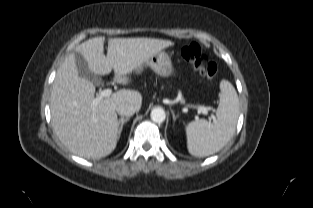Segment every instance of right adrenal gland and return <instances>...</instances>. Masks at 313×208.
<instances>
[{
    "mask_svg": "<svg viewBox=\"0 0 313 208\" xmlns=\"http://www.w3.org/2000/svg\"><path fill=\"white\" fill-rule=\"evenodd\" d=\"M129 119H130V117H122V118H120L119 119V121H118V125H119V135L121 134V132H122V129H123V125L127 122V121H129Z\"/></svg>",
    "mask_w": 313,
    "mask_h": 208,
    "instance_id": "1",
    "label": "right adrenal gland"
}]
</instances>
